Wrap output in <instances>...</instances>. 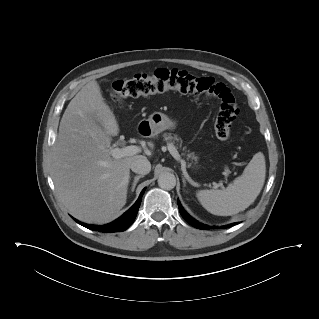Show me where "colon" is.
Wrapping results in <instances>:
<instances>
[{
    "label": "colon",
    "mask_w": 319,
    "mask_h": 319,
    "mask_svg": "<svg viewBox=\"0 0 319 319\" xmlns=\"http://www.w3.org/2000/svg\"><path fill=\"white\" fill-rule=\"evenodd\" d=\"M170 90L216 99L219 111L214 124L215 134L222 141L230 138L231 124L238 114V105L231 90L210 77H197L178 69L140 73L127 80H116L113 83V100L123 106L127 99Z\"/></svg>",
    "instance_id": "colon-1"
}]
</instances>
